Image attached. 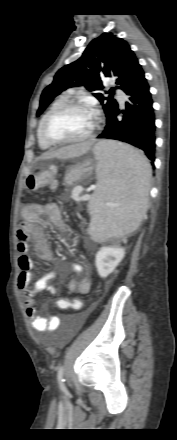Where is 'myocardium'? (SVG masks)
I'll use <instances>...</instances> for the list:
<instances>
[{"label":"myocardium","instance_id":"f54148a6","mask_svg":"<svg viewBox=\"0 0 177 440\" xmlns=\"http://www.w3.org/2000/svg\"><path fill=\"white\" fill-rule=\"evenodd\" d=\"M73 109L87 111L92 116V112H91L90 108L83 103L70 101V102H67V103H64V104L58 106L57 108H55L53 111H51L49 113V115L45 118V120L42 124L41 134H42L43 138L48 143H50L52 145L77 144V143L85 142L93 137L95 131L98 128V122L95 118H93L94 123H93L92 129L85 136L78 138V139H72V140L57 139V138L52 137L48 133V126L56 116H58L59 114L65 112V111L73 110Z\"/></svg>","mask_w":177,"mask_h":440}]
</instances>
